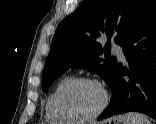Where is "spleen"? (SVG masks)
Wrapping results in <instances>:
<instances>
[{
    "label": "spleen",
    "instance_id": "spleen-1",
    "mask_svg": "<svg viewBox=\"0 0 156 124\" xmlns=\"http://www.w3.org/2000/svg\"><path fill=\"white\" fill-rule=\"evenodd\" d=\"M127 124H151V121L143 114L129 112L124 116Z\"/></svg>",
    "mask_w": 156,
    "mask_h": 124
}]
</instances>
